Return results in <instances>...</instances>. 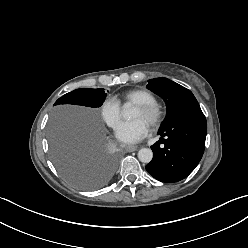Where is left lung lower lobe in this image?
<instances>
[{
  "mask_svg": "<svg viewBox=\"0 0 248 248\" xmlns=\"http://www.w3.org/2000/svg\"><path fill=\"white\" fill-rule=\"evenodd\" d=\"M206 133V118L198 102L188 105L159 129L161 138L151 146L153 159L146 170L161 182L184 179L202 158Z\"/></svg>",
  "mask_w": 248,
  "mask_h": 248,
  "instance_id": "1",
  "label": "left lung lower lobe"
}]
</instances>
